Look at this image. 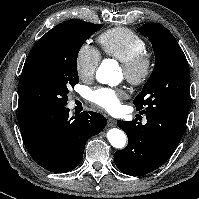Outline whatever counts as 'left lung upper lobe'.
I'll use <instances>...</instances> for the list:
<instances>
[{
    "mask_svg": "<svg viewBox=\"0 0 199 199\" xmlns=\"http://www.w3.org/2000/svg\"><path fill=\"white\" fill-rule=\"evenodd\" d=\"M138 31L148 37L155 53V67L133 103L147 113L158 105L190 110V71L187 59L174 36L161 24L150 22ZM144 106V107H143Z\"/></svg>",
    "mask_w": 199,
    "mask_h": 199,
    "instance_id": "5c2ea615",
    "label": "left lung upper lobe"
}]
</instances>
